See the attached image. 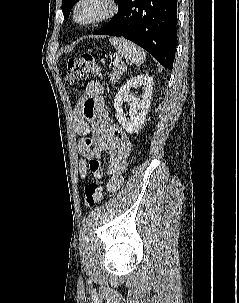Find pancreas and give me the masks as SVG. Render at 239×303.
Segmentation results:
<instances>
[{"instance_id": "pancreas-1", "label": "pancreas", "mask_w": 239, "mask_h": 303, "mask_svg": "<svg viewBox=\"0 0 239 303\" xmlns=\"http://www.w3.org/2000/svg\"><path fill=\"white\" fill-rule=\"evenodd\" d=\"M125 71L126 66L123 63L115 65L113 68V72L109 75L110 82L116 83Z\"/></svg>"}]
</instances>
